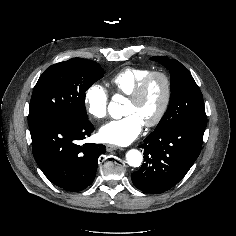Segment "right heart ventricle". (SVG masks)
Wrapping results in <instances>:
<instances>
[{
  "label": "right heart ventricle",
  "instance_id": "obj_1",
  "mask_svg": "<svg viewBox=\"0 0 236 236\" xmlns=\"http://www.w3.org/2000/svg\"><path fill=\"white\" fill-rule=\"evenodd\" d=\"M150 72L147 67H126L110 79V84L116 94L129 96Z\"/></svg>",
  "mask_w": 236,
  "mask_h": 236
}]
</instances>
